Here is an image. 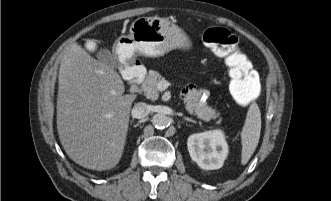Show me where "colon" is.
Here are the masks:
<instances>
[{"label": "colon", "instance_id": "obj_1", "mask_svg": "<svg viewBox=\"0 0 331 201\" xmlns=\"http://www.w3.org/2000/svg\"><path fill=\"white\" fill-rule=\"evenodd\" d=\"M203 41L224 59L230 76V91L235 101L241 106L252 104L260 94V80L248 58L240 51L236 36L225 28L211 27L203 32ZM88 49L94 50L95 43L89 42Z\"/></svg>", "mask_w": 331, "mask_h": 201}]
</instances>
